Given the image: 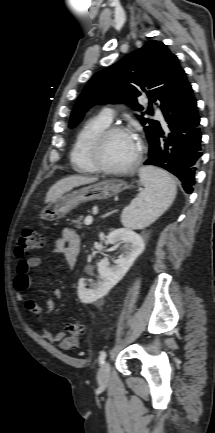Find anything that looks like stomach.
<instances>
[{
	"mask_svg": "<svg viewBox=\"0 0 215 433\" xmlns=\"http://www.w3.org/2000/svg\"><path fill=\"white\" fill-rule=\"evenodd\" d=\"M125 188L126 185L122 181L106 180L73 190L51 201L42 211L41 218L46 221L61 219L83 202L107 199L123 191Z\"/></svg>",
	"mask_w": 215,
	"mask_h": 433,
	"instance_id": "stomach-1",
	"label": "stomach"
}]
</instances>
